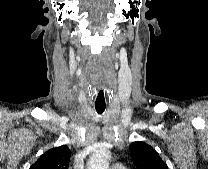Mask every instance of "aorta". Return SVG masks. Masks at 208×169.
I'll use <instances>...</instances> for the list:
<instances>
[{"label":"aorta","mask_w":208,"mask_h":169,"mask_svg":"<svg viewBox=\"0 0 208 169\" xmlns=\"http://www.w3.org/2000/svg\"><path fill=\"white\" fill-rule=\"evenodd\" d=\"M110 151L105 147L98 148L88 161V169H108Z\"/></svg>","instance_id":"1"}]
</instances>
